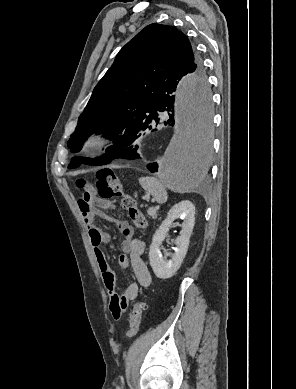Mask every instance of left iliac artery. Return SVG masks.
<instances>
[{
    "label": "left iliac artery",
    "instance_id": "1",
    "mask_svg": "<svg viewBox=\"0 0 296 389\" xmlns=\"http://www.w3.org/2000/svg\"><path fill=\"white\" fill-rule=\"evenodd\" d=\"M122 382H123V380H122ZM117 389H121V388L118 386Z\"/></svg>",
    "mask_w": 296,
    "mask_h": 389
}]
</instances>
